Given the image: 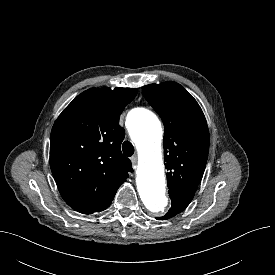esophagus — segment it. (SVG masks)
<instances>
[{"label":"esophagus","instance_id":"34e87169","mask_svg":"<svg viewBox=\"0 0 275 275\" xmlns=\"http://www.w3.org/2000/svg\"><path fill=\"white\" fill-rule=\"evenodd\" d=\"M131 162H132V165L133 167H136V164H137V156L134 155L130 158Z\"/></svg>","mask_w":275,"mask_h":275}]
</instances>
